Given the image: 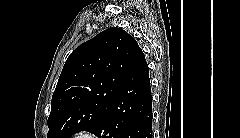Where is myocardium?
I'll return each mask as SVG.
<instances>
[{
  "instance_id": "obj_1",
  "label": "myocardium",
  "mask_w": 240,
  "mask_h": 138,
  "mask_svg": "<svg viewBox=\"0 0 240 138\" xmlns=\"http://www.w3.org/2000/svg\"><path fill=\"white\" fill-rule=\"evenodd\" d=\"M80 135V138H95V136L90 132H83Z\"/></svg>"
}]
</instances>
